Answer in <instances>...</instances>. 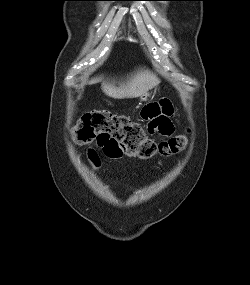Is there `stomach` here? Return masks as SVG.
Listing matches in <instances>:
<instances>
[{
    "label": "stomach",
    "mask_w": 250,
    "mask_h": 285,
    "mask_svg": "<svg viewBox=\"0 0 250 285\" xmlns=\"http://www.w3.org/2000/svg\"><path fill=\"white\" fill-rule=\"evenodd\" d=\"M148 97H149V94L146 93V94L140 96V100L141 101H146L148 99Z\"/></svg>",
    "instance_id": "1"
}]
</instances>
